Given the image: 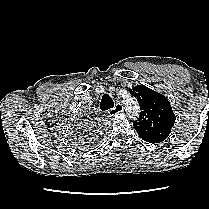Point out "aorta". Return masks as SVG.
<instances>
[{"mask_svg":"<svg viewBox=\"0 0 209 209\" xmlns=\"http://www.w3.org/2000/svg\"><path fill=\"white\" fill-rule=\"evenodd\" d=\"M122 101H123V104H124L125 109L128 112V114H132V116L138 115L139 105L134 98H132L128 95V96L124 97Z\"/></svg>","mask_w":209,"mask_h":209,"instance_id":"762f6f07","label":"aorta"}]
</instances>
